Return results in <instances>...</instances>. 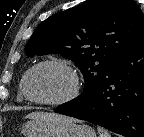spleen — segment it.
<instances>
[{
	"label": "spleen",
	"mask_w": 144,
	"mask_h": 137,
	"mask_svg": "<svg viewBox=\"0 0 144 137\" xmlns=\"http://www.w3.org/2000/svg\"><path fill=\"white\" fill-rule=\"evenodd\" d=\"M98 133H99V137H111V135L109 134V132L102 128V127H97Z\"/></svg>",
	"instance_id": "spleen-1"
}]
</instances>
